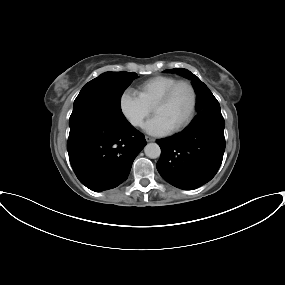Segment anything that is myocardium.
<instances>
[{
	"label": "myocardium",
	"instance_id": "1",
	"mask_svg": "<svg viewBox=\"0 0 285 285\" xmlns=\"http://www.w3.org/2000/svg\"><path fill=\"white\" fill-rule=\"evenodd\" d=\"M180 86H187L191 91L192 105L188 116L183 122H181L178 126L171 130L172 133H177L185 129L193 121L196 115L198 107V93L195 86L188 80H178L166 90V92L158 99V101L153 106L154 113L158 107L166 105L171 100L173 94Z\"/></svg>",
	"mask_w": 285,
	"mask_h": 285
}]
</instances>
